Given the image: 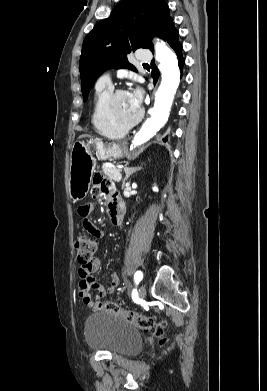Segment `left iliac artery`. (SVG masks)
<instances>
[{
    "label": "left iliac artery",
    "instance_id": "44dca946",
    "mask_svg": "<svg viewBox=\"0 0 267 391\" xmlns=\"http://www.w3.org/2000/svg\"><path fill=\"white\" fill-rule=\"evenodd\" d=\"M142 278H143V273L141 271H137L134 275L135 283L139 284V282L142 280Z\"/></svg>",
    "mask_w": 267,
    "mask_h": 391
}]
</instances>
